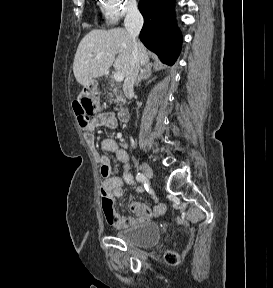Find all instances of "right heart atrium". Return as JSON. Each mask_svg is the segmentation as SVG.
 I'll return each mask as SVG.
<instances>
[{"label":"right heart atrium","instance_id":"d8ad5b80","mask_svg":"<svg viewBox=\"0 0 273 288\" xmlns=\"http://www.w3.org/2000/svg\"><path fill=\"white\" fill-rule=\"evenodd\" d=\"M100 5L105 19L111 24L137 11L135 0H100Z\"/></svg>","mask_w":273,"mask_h":288}]
</instances>
